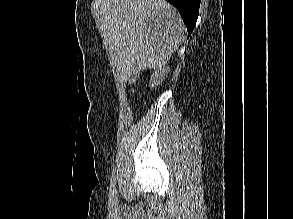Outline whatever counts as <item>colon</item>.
I'll use <instances>...</instances> for the list:
<instances>
[{"label":"colon","mask_w":293,"mask_h":219,"mask_svg":"<svg viewBox=\"0 0 293 219\" xmlns=\"http://www.w3.org/2000/svg\"><path fill=\"white\" fill-rule=\"evenodd\" d=\"M135 81H136V77H132V78L129 79V83L130 84L135 83Z\"/></svg>","instance_id":"5ec220e1"}]
</instances>
